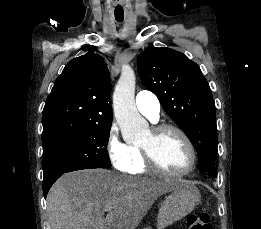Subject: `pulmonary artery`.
<instances>
[{"instance_id": "e3ab8cb5", "label": "pulmonary artery", "mask_w": 261, "mask_h": 229, "mask_svg": "<svg viewBox=\"0 0 261 229\" xmlns=\"http://www.w3.org/2000/svg\"><path fill=\"white\" fill-rule=\"evenodd\" d=\"M138 111L152 123L159 119L161 105L157 96L150 91H140L135 98Z\"/></svg>"}]
</instances>
